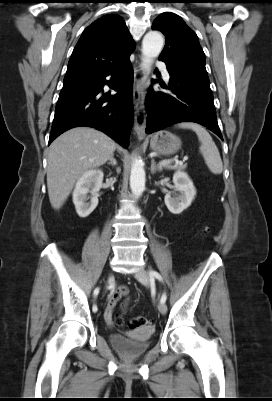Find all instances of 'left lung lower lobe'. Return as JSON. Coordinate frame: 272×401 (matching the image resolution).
<instances>
[{"instance_id": "obj_1", "label": "left lung lower lobe", "mask_w": 272, "mask_h": 401, "mask_svg": "<svg viewBox=\"0 0 272 401\" xmlns=\"http://www.w3.org/2000/svg\"><path fill=\"white\" fill-rule=\"evenodd\" d=\"M166 65L170 74L171 93L149 88L146 99V133L150 134L179 122H196L223 140L217 123L209 78ZM161 86L164 87L163 84Z\"/></svg>"}]
</instances>
